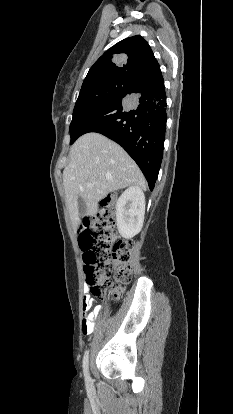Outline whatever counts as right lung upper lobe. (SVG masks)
<instances>
[{
  "label": "right lung upper lobe",
  "instance_id": "1",
  "mask_svg": "<svg viewBox=\"0 0 233 414\" xmlns=\"http://www.w3.org/2000/svg\"><path fill=\"white\" fill-rule=\"evenodd\" d=\"M158 72L160 66L150 46L143 37L136 35L108 49L90 68L83 85L104 77L136 81Z\"/></svg>",
  "mask_w": 233,
  "mask_h": 414
}]
</instances>
